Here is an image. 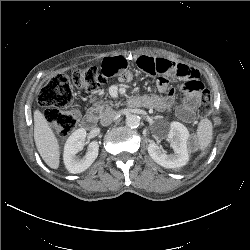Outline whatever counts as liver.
I'll use <instances>...</instances> for the list:
<instances>
[{"instance_id":"6515ba94","label":"liver","mask_w":250,"mask_h":250,"mask_svg":"<svg viewBox=\"0 0 250 250\" xmlns=\"http://www.w3.org/2000/svg\"><path fill=\"white\" fill-rule=\"evenodd\" d=\"M34 140L44 162L52 169H58L60 148L58 140L45 116L36 109L34 112Z\"/></svg>"}]
</instances>
